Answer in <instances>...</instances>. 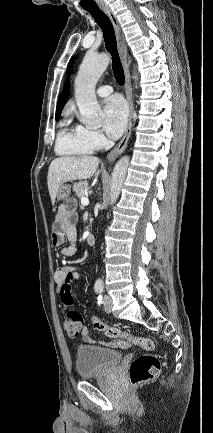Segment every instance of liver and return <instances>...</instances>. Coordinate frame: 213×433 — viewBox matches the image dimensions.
I'll return each instance as SVG.
<instances>
[{"label":"liver","mask_w":213,"mask_h":433,"mask_svg":"<svg viewBox=\"0 0 213 433\" xmlns=\"http://www.w3.org/2000/svg\"><path fill=\"white\" fill-rule=\"evenodd\" d=\"M99 159L95 156H65L54 159L48 170L47 185L51 202H55L58 189L65 182L96 177Z\"/></svg>","instance_id":"1"}]
</instances>
